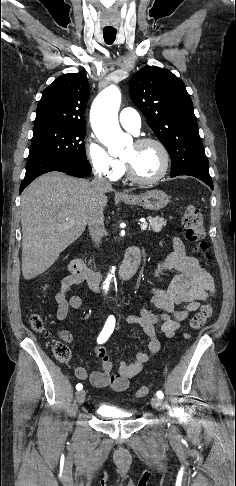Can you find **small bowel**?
<instances>
[{"instance_id": "1", "label": "small bowel", "mask_w": 236, "mask_h": 486, "mask_svg": "<svg viewBox=\"0 0 236 486\" xmlns=\"http://www.w3.org/2000/svg\"><path fill=\"white\" fill-rule=\"evenodd\" d=\"M172 243L173 251L157 264L153 277H158L165 270H175L177 275L167 288L153 287L151 297L142 305L139 313L126 317L128 323L139 325L148 336V351L136 352L131 362L121 361L118 370L113 373V364L105 348L98 347L96 355L101 362L100 369L88 375L85 367L77 366L75 375L78 379L88 378L97 388H109L116 392L126 390L130 379L138 376L144 364L160 349L156 327L160 326L166 337H173L181 323L200 307L202 301L213 295L215 288L212 276L196 258L186 254L185 246L178 237H174ZM81 284L82 281L74 275H68L61 280L55 294L58 320H64L71 309H78L81 306V298L70 294L73 287ZM147 304L154 305L162 313H152L147 309ZM60 336L66 341L71 340L68 331H61Z\"/></svg>"}]
</instances>
